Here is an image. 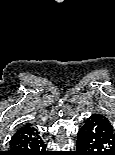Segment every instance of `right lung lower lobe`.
I'll list each match as a JSON object with an SVG mask.
<instances>
[{
    "label": "right lung lower lobe",
    "instance_id": "98d812e1",
    "mask_svg": "<svg viewBox=\"0 0 115 155\" xmlns=\"http://www.w3.org/2000/svg\"><path fill=\"white\" fill-rule=\"evenodd\" d=\"M8 155H49L46 144L33 128L18 130L10 140Z\"/></svg>",
    "mask_w": 115,
    "mask_h": 155
}]
</instances>
